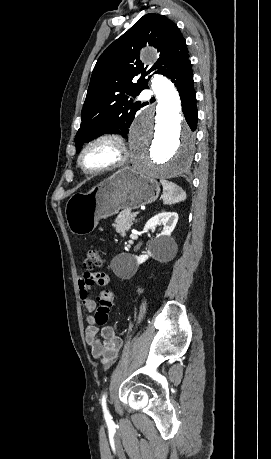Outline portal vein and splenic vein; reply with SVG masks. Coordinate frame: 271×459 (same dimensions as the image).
I'll return each instance as SVG.
<instances>
[{
    "label": "portal vein and splenic vein",
    "instance_id": "1",
    "mask_svg": "<svg viewBox=\"0 0 271 459\" xmlns=\"http://www.w3.org/2000/svg\"><path fill=\"white\" fill-rule=\"evenodd\" d=\"M136 216H137V215H136V212H133V213L131 214V217H136Z\"/></svg>",
    "mask_w": 271,
    "mask_h": 459
}]
</instances>
